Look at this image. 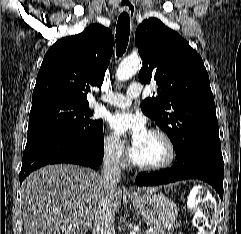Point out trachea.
Listing matches in <instances>:
<instances>
[{
  "instance_id": "3493384b",
  "label": "trachea",
  "mask_w": 241,
  "mask_h": 234,
  "mask_svg": "<svg viewBox=\"0 0 241 234\" xmlns=\"http://www.w3.org/2000/svg\"><path fill=\"white\" fill-rule=\"evenodd\" d=\"M130 35V17L128 13L123 12L118 17L116 26V45L117 56L120 57L126 51Z\"/></svg>"
}]
</instances>
